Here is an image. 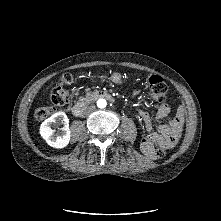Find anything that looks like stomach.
<instances>
[{
    "label": "stomach",
    "instance_id": "stomach-1",
    "mask_svg": "<svg viewBox=\"0 0 221 221\" xmlns=\"http://www.w3.org/2000/svg\"><path fill=\"white\" fill-rule=\"evenodd\" d=\"M109 80L116 84L122 83V77L121 74L118 71H114L109 77H107Z\"/></svg>",
    "mask_w": 221,
    "mask_h": 221
}]
</instances>
